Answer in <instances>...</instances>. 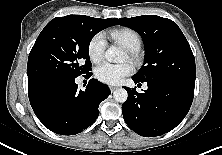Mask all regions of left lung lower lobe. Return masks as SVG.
<instances>
[{
	"instance_id": "obj_1",
	"label": "left lung lower lobe",
	"mask_w": 222,
	"mask_h": 155,
	"mask_svg": "<svg viewBox=\"0 0 222 155\" xmlns=\"http://www.w3.org/2000/svg\"><path fill=\"white\" fill-rule=\"evenodd\" d=\"M135 83L144 82L132 77ZM148 89L138 93L127 88V100L122 104L126 124L137 134L154 137L174 129L188 113L194 86L171 79L146 81Z\"/></svg>"
}]
</instances>
